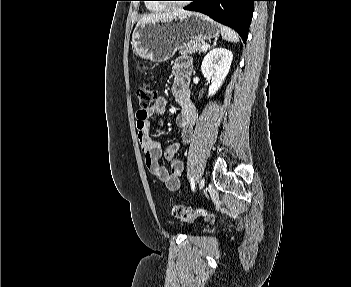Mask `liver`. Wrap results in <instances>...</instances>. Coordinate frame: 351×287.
Wrapping results in <instances>:
<instances>
[{
	"instance_id": "liver-1",
	"label": "liver",
	"mask_w": 351,
	"mask_h": 287,
	"mask_svg": "<svg viewBox=\"0 0 351 287\" xmlns=\"http://www.w3.org/2000/svg\"><path fill=\"white\" fill-rule=\"evenodd\" d=\"M190 11H185L183 9H177L172 12H165V13H157V14H150L143 16L137 23V25L149 22H157V21H167L169 19L177 18V17H184L190 15Z\"/></svg>"
}]
</instances>
